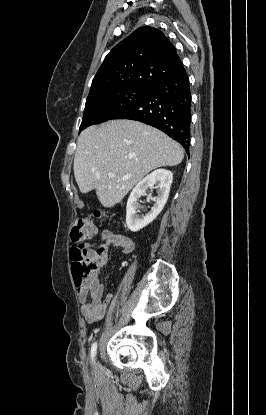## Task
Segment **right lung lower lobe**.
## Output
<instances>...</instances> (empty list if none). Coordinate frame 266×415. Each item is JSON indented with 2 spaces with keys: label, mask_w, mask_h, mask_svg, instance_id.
Wrapping results in <instances>:
<instances>
[{
  "label": "right lung lower lobe",
  "mask_w": 266,
  "mask_h": 415,
  "mask_svg": "<svg viewBox=\"0 0 266 415\" xmlns=\"http://www.w3.org/2000/svg\"><path fill=\"white\" fill-rule=\"evenodd\" d=\"M111 119H131L156 127L178 141L189 155L191 92L185 69L155 84L143 99Z\"/></svg>",
  "instance_id": "1"
}]
</instances>
